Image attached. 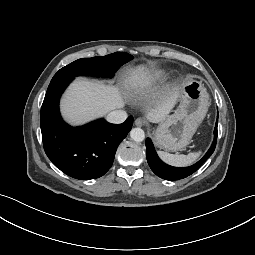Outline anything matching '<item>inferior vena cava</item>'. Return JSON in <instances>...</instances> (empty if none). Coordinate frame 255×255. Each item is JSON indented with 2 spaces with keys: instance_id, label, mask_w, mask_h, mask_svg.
<instances>
[{
  "instance_id": "602c4592",
  "label": "inferior vena cava",
  "mask_w": 255,
  "mask_h": 255,
  "mask_svg": "<svg viewBox=\"0 0 255 255\" xmlns=\"http://www.w3.org/2000/svg\"><path fill=\"white\" fill-rule=\"evenodd\" d=\"M127 119V113L123 110H115L107 115V121L114 124H120Z\"/></svg>"
}]
</instances>
